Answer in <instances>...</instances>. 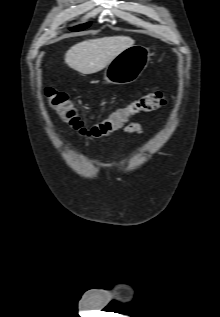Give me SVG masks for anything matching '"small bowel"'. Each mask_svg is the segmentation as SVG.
Listing matches in <instances>:
<instances>
[{
  "label": "small bowel",
  "mask_w": 220,
  "mask_h": 317,
  "mask_svg": "<svg viewBox=\"0 0 220 317\" xmlns=\"http://www.w3.org/2000/svg\"><path fill=\"white\" fill-rule=\"evenodd\" d=\"M142 130V127L140 125V123L138 122H131L129 124H127L126 126H124L123 131L128 133V134H138L140 133ZM83 135H86L87 137H91V138H101L102 136H94L90 131H85L82 132Z\"/></svg>",
  "instance_id": "obj_1"
}]
</instances>
